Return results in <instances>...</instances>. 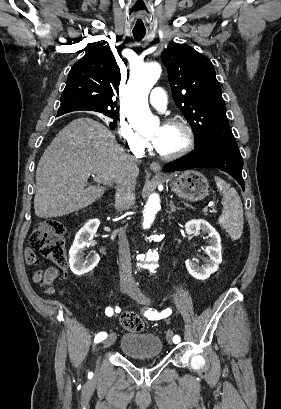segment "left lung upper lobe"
Returning a JSON list of instances; mask_svg holds the SVG:
<instances>
[{
	"label": "left lung upper lobe",
	"instance_id": "1",
	"mask_svg": "<svg viewBox=\"0 0 281 409\" xmlns=\"http://www.w3.org/2000/svg\"><path fill=\"white\" fill-rule=\"evenodd\" d=\"M161 60L168 70L175 103L191 124L195 147L237 146L211 61L186 44L169 46Z\"/></svg>",
	"mask_w": 281,
	"mask_h": 409
}]
</instances>
